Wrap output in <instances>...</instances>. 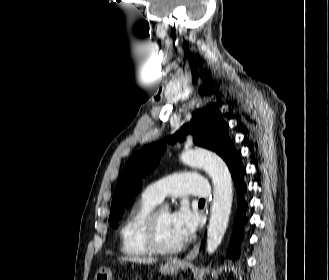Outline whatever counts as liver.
Returning a JSON list of instances; mask_svg holds the SVG:
<instances>
[{
	"label": "liver",
	"instance_id": "1",
	"mask_svg": "<svg viewBox=\"0 0 329 280\" xmlns=\"http://www.w3.org/2000/svg\"><path fill=\"white\" fill-rule=\"evenodd\" d=\"M122 261H129V262H133V263H143V264H153L157 262V259L154 258H147V257H121L119 258Z\"/></svg>",
	"mask_w": 329,
	"mask_h": 280
}]
</instances>
